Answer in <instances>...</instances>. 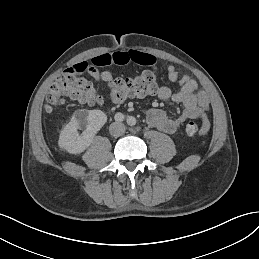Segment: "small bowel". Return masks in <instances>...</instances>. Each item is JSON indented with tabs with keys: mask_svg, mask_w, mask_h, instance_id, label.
<instances>
[{
	"mask_svg": "<svg viewBox=\"0 0 259 259\" xmlns=\"http://www.w3.org/2000/svg\"><path fill=\"white\" fill-rule=\"evenodd\" d=\"M136 63L144 66H154L156 58L148 53L135 50L117 51L102 54L93 58L92 62H79L70 66L66 71L69 73L87 72L97 81L110 82L112 74L107 70H99V66L128 65ZM168 78L171 82L179 85L177 92L167 86L159 87L155 95L161 100H172L183 105V113L178 118H170L159 108H149L145 110L146 119L152 127L168 133L174 134L180 126L188 119H200L202 121V131L205 133L209 127L207 111L209 108V97L205 91L197 89V83L189 76H181L172 65L167 68ZM116 101L115 103H122Z\"/></svg>",
	"mask_w": 259,
	"mask_h": 259,
	"instance_id": "1",
	"label": "small bowel"
}]
</instances>
